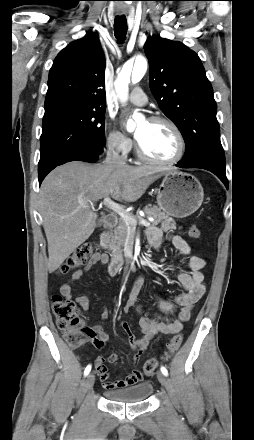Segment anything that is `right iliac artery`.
I'll list each match as a JSON object with an SVG mask.
<instances>
[{"label": "right iliac artery", "mask_w": 254, "mask_h": 440, "mask_svg": "<svg viewBox=\"0 0 254 440\" xmlns=\"http://www.w3.org/2000/svg\"><path fill=\"white\" fill-rule=\"evenodd\" d=\"M90 371H91V365H88V366L85 368L84 375H85V376L88 375Z\"/></svg>", "instance_id": "obj_1"}]
</instances>
